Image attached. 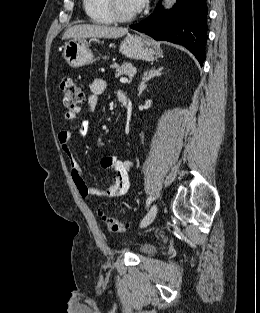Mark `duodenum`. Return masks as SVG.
<instances>
[{"label": "duodenum", "mask_w": 260, "mask_h": 313, "mask_svg": "<svg viewBox=\"0 0 260 313\" xmlns=\"http://www.w3.org/2000/svg\"><path fill=\"white\" fill-rule=\"evenodd\" d=\"M121 104L124 106V107H127L128 104H129V100L126 98V97H121L119 98Z\"/></svg>", "instance_id": "duodenum-1"}]
</instances>
